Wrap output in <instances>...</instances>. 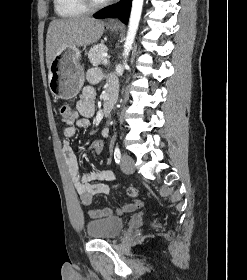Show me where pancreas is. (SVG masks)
<instances>
[{
  "label": "pancreas",
  "instance_id": "1",
  "mask_svg": "<svg viewBox=\"0 0 247 280\" xmlns=\"http://www.w3.org/2000/svg\"><path fill=\"white\" fill-rule=\"evenodd\" d=\"M106 51H107V47L104 44L93 46L88 53V58L90 60V63L93 66H98L100 64H103V61L106 59V57L103 56V53Z\"/></svg>",
  "mask_w": 247,
  "mask_h": 280
}]
</instances>
